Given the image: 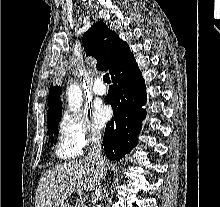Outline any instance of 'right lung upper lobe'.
<instances>
[{"label": "right lung upper lobe", "mask_w": 220, "mask_h": 207, "mask_svg": "<svg viewBox=\"0 0 220 207\" xmlns=\"http://www.w3.org/2000/svg\"><path fill=\"white\" fill-rule=\"evenodd\" d=\"M83 43L86 55L97 60V69L108 70L110 74L114 66L130 53L128 44L122 41L116 32L110 30L102 21L96 22L83 35ZM61 92L62 88L60 86L51 84L47 120L62 109V103L59 99Z\"/></svg>", "instance_id": "right-lung-upper-lobe-1"}]
</instances>
